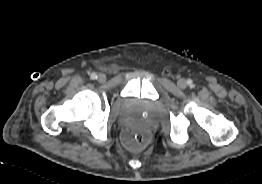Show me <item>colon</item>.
Returning <instances> with one entry per match:
<instances>
[{
  "label": "colon",
  "mask_w": 262,
  "mask_h": 184,
  "mask_svg": "<svg viewBox=\"0 0 262 184\" xmlns=\"http://www.w3.org/2000/svg\"><path fill=\"white\" fill-rule=\"evenodd\" d=\"M148 134L141 131H128L123 138L124 145L131 150L143 148L148 143Z\"/></svg>",
  "instance_id": "obj_1"
}]
</instances>
